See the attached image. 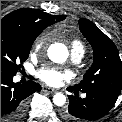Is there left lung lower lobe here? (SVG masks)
Wrapping results in <instances>:
<instances>
[{
  "instance_id": "1",
  "label": "left lung lower lobe",
  "mask_w": 122,
  "mask_h": 122,
  "mask_svg": "<svg viewBox=\"0 0 122 122\" xmlns=\"http://www.w3.org/2000/svg\"><path fill=\"white\" fill-rule=\"evenodd\" d=\"M69 92H73L75 96L70 95L69 106L62 112V117L67 122H89L104 117L114 106L118 94L102 91L91 90L86 91V98L78 97V90L68 87Z\"/></svg>"
}]
</instances>
